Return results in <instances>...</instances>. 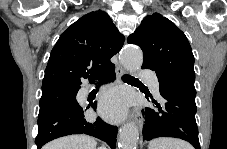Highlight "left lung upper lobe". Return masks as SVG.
<instances>
[{
    "label": "left lung upper lobe",
    "instance_id": "1",
    "mask_svg": "<svg viewBox=\"0 0 227 149\" xmlns=\"http://www.w3.org/2000/svg\"><path fill=\"white\" fill-rule=\"evenodd\" d=\"M127 41L141 47L142 68L155 71L162 86L196 96L191 46L185 34L169 19L158 13L148 15Z\"/></svg>",
    "mask_w": 227,
    "mask_h": 149
}]
</instances>
